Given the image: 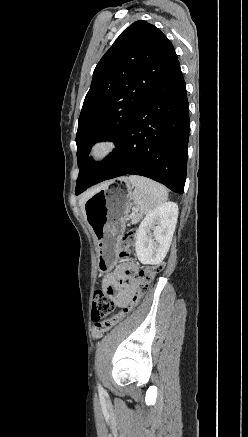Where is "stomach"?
<instances>
[{"instance_id": "obj_1", "label": "stomach", "mask_w": 248, "mask_h": 437, "mask_svg": "<svg viewBox=\"0 0 248 437\" xmlns=\"http://www.w3.org/2000/svg\"><path fill=\"white\" fill-rule=\"evenodd\" d=\"M118 181L125 182L127 189ZM103 185L84 203V215L97 246L101 271L113 267L116 247L124 231L125 221L131 209V190L126 178Z\"/></svg>"}]
</instances>
